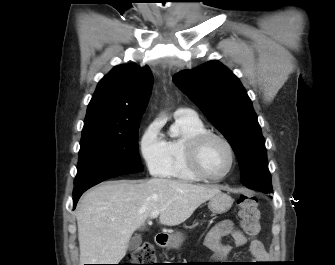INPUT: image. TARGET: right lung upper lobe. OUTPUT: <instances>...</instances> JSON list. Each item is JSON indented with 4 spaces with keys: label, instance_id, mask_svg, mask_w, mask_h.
<instances>
[{
    "label": "right lung upper lobe",
    "instance_id": "obj_1",
    "mask_svg": "<svg viewBox=\"0 0 335 265\" xmlns=\"http://www.w3.org/2000/svg\"><path fill=\"white\" fill-rule=\"evenodd\" d=\"M153 84L148 66L118 65L98 83L82 133L120 131L140 122Z\"/></svg>",
    "mask_w": 335,
    "mask_h": 265
}]
</instances>
